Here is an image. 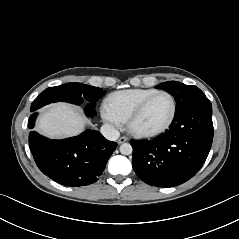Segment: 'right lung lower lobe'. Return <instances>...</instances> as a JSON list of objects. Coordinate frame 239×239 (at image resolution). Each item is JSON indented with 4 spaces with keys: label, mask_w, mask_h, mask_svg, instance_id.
<instances>
[{
    "label": "right lung lower lobe",
    "mask_w": 239,
    "mask_h": 239,
    "mask_svg": "<svg viewBox=\"0 0 239 239\" xmlns=\"http://www.w3.org/2000/svg\"><path fill=\"white\" fill-rule=\"evenodd\" d=\"M35 118L36 114L29 118V128H33ZM29 146L38 168L45 175L59 184L74 187L98 180L117 143L88 129L63 140H51L31 131Z\"/></svg>",
    "instance_id": "1"
}]
</instances>
